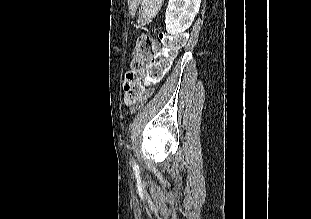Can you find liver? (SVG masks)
Segmentation results:
<instances>
[{
    "mask_svg": "<svg viewBox=\"0 0 311 219\" xmlns=\"http://www.w3.org/2000/svg\"><path fill=\"white\" fill-rule=\"evenodd\" d=\"M137 0H132V2H136Z\"/></svg>",
    "mask_w": 311,
    "mask_h": 219,
    "instance_id": "6515ba94",
    "label": "liver"
}]
</instances>
